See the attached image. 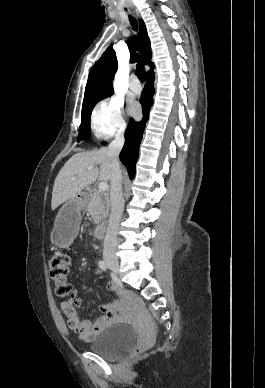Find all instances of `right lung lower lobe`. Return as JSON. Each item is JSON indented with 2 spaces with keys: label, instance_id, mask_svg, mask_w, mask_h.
I'll return each mask as SVG.
<instances>
[{
  "label": "right lung lower lobe",
  "instance_id": "obj_1",
  "mask_svg": "<svg viewBox=\"0 0 265 388\" xmlns=\"http://www.w3.org/2000/svg\"><path fill=\"white\" fill-rule=\"evenodd\" d=\"M154 79L153 70L147 74V82L142 91L140 103L142 105L143 118L140 122L130 119L128 127L125 131V144L120 153V159L126 166L130 179L135 176V164L139 154V145L143 136L145 124L149 118V111L153 105L154 95Z\"/></svg>",
  "mask_w": 265,
  "mask_h": 388
}]
</instances>
